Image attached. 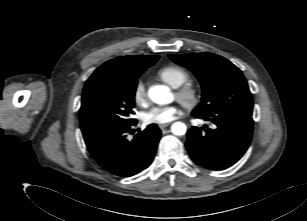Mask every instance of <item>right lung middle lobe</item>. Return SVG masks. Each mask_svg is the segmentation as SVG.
<instances>
[{
	"label": "right lung middle lobe",
	"mask_w": 307,
	"mask_h": 221,
	"mask_svg": "<svg viewBox=\"0 0 307 221\" xmlns=\"http://www.w3.org/2000/svg\"><path fill=\"white\" fill-rule=\"evenodd\" d=\"M146 68L100 74L84 86L79 110L85 142L109 130L133 124L134 97L139 76Z\"/></svg>",
	"instance_id": "dd1d6c3e"
}]
</instances>
